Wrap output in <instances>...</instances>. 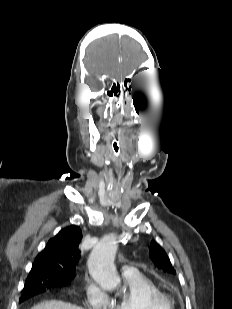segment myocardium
<instances>
[{"label":"myocardium","mask_w":232,"mask_h":309,"mask_svg":"<svg viewBox=\"0 0 232 309\" xmlns=\"http://www.w3.org/2000/svg\"><path fill=\"white\" fill-rule=\"evenodd\" d=\"M165 300H166V303L168 305V309H174V306H175V302L173 299H171L170 297L168 296H165Z\"/></svg>","instance_id":"1"}]
</instances>
